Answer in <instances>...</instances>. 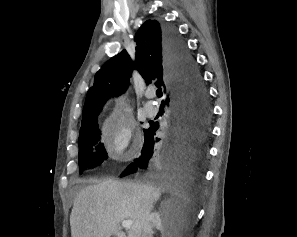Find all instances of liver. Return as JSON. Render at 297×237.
<instances>
[{
  "label": "liver",
  "mask_w": 297,
  "mask_h": 237,
  "mask_svg": "<svg viewBox=\"0 0 297 237\" xmlns=\"http://www.w3.org/2000/svg\"><path fill=\"white\" fill-rule=\"evenodd\" d=\"M161 196L151 183L104 180L76 196L70 215L72 237H141L144 223ZM133 221L126 234L120 222Z\"/></svg>",
  "instance_id": "liver-1"
}]
</instances>
